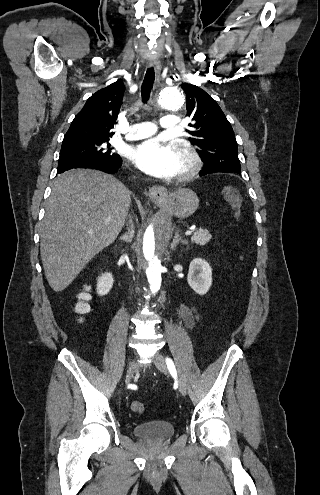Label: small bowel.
I'll list each match as a JSON object with an SVG mask.
<instances>
[{"mask_svg": "<svg viewBox=\"0 0 320 495\" xmlns=\"http://www.w3.org/2000/svg\"><path fill=\"white\" fill-rule=\"evenodd\" d=\"M179 316L188 329L193 328L194 325L199 321L197 309L192 304L181 305L179 309Z\"/></svg>", "mask_w": 320, "mask_h": 495, "instance_id": "1", "label": "small bowel"}]
</instances>
